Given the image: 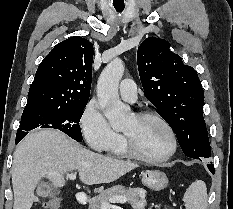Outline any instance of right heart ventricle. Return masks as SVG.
Returning a JSON list of instances; mask_svg holds the SVG:
<instances>
[{"label":"right heart ventricle","instance_id":"obj_1","mask_svg":"<svg viewBox=\"0 0 233 209\" xmlns=\"http://www.w3.org/2000/svg\"><path fill=\"white\" fill-rule=\"evenodd\" d=\"M110 156L125 158L128 157V154L125 150L123 140L121 139L114 146L106 150Z\"/></svg>","mask_w":233,"mask_h":209}]
</instances>
